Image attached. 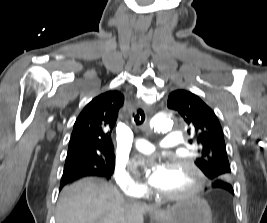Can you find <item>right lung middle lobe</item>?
Returning <instances> with one entry per match:
<instances>
[{
    "label": "right lung middle lobe",
    "mask_w": 267,
    "mask_h": 223,
    "mask_svg": "<svg viewBox=\"0 0 267 223\" xmlns=\"http://www.w3.org/2000/svg\"><path fill=\"white\" fill-rule=\"evenodd\" d=\"M114 154L83 156L78 159H66L64 171L82 170L83 172L110 178L114 171Z\"/></svg>",
    "instance_id": "right-lung-middle-lobe-1"
}]
</instances>
